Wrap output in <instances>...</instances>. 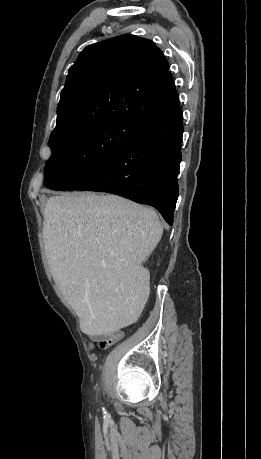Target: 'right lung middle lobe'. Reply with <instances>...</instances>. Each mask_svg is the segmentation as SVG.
Segmentation results:
<instances>
[{
  "label": "right lung middle lobe",
  "instance_id": "1",
  "mask_svg": "<svg viewBox=\"0 0 261 459\" xmlns=\"http://www.w3.org/2000/svg\"><path fill=\"white\" fill-rule=\"evenodd\" d=\"M144 126L138 121L116 120L77 134L50 137L52 155L44 169L46 186L72 189L121 153Z\"/></svg>",
  "mask_w": 261,
  "mask_h": 459
}]
</instances>
